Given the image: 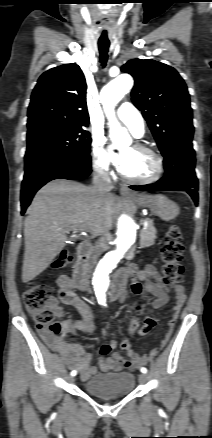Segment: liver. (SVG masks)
<instances>
[{"mask_svg": "<svg viewBox=\"0 0 212 438\" xmlns=\"http://www.w3.org/2000/svg\"><path fill=\"white\" fill-rule=\"evenodd\" d=\"M116 209L112 194L97 196L93 188L56 179L35 195L24 221L25 251L22 280L42 273L65 247L70 230H87L93 236L112 228Z\"/></svg>", "mask_w": 212, "mask_h": 438, "instance_id": "6515ba94", "label": "liver"}]
</instances>
